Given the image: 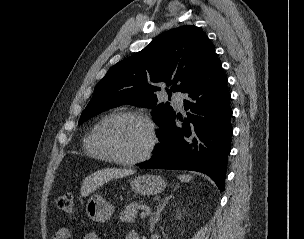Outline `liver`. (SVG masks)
I'll return each instance as SVG.
<instances>
[{
    "label": "liver",
    "instance_id": "6515ba94",
    "mask_svg": "<svg viewBox=\"0 0 304 239\" xmlns=\"http://www.w3.org/2000/svg\"><path fill=\"white\" fill-rule=\"evenodd\" d=\"M134 174L133 170L106 168L87 176L81 186V195L86 197L105 183Z\"/></svg>",
    "mask_w": 304,
    "mask_h": 239
}]
</instances>
